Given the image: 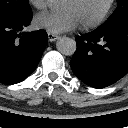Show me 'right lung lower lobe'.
I'll return each mask as SVG.
<instances>
[{"label": "right lung lower lobe", "mask_w": 128, "mask_h": 128, "mask_svg": "<svg viewBox=\"0 0 128 128\" xmlns=\"http://www.w3.org/2000/svg\"><path fill=\"white\" fill-rule=\"evenodd\" d=\"M32 16L16 21L0 20V82L16 84L37 67L47 45L43 30L20 33Z\"/></svg>", "instance_id": "right-lung-lower-lobe-1"}]
</instances>
